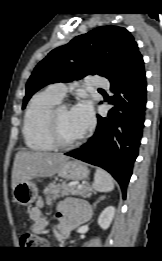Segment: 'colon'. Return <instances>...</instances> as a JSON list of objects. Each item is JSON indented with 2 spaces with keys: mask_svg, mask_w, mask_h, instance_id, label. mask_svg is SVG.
Wrapping results in <instances>:
<instances>
[{
  "mask_svg": "<svg viewBox=\"0 0 162 261\" xmlns=\"http://www.w3.org/2000/svg\"><path fill=\"white\" fill-rule=\"evenodd\" d=\"M20 244L23 248H38L46 245V242L30 231H25L20 237Z\"/></svg>",
  "mask_w": 162,
  "mask_h": 261,
  "instance_id": "obj_1",
  "label": "colon"
}]
</instances>
